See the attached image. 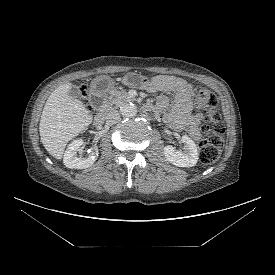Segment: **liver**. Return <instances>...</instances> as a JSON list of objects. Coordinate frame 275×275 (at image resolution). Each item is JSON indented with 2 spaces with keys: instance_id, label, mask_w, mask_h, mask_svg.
Segmentation results:
<instances>
[{
  "instance_id": "obj_1",
  "label": "liver",
  "mask_w": 275,
  "mask_h": 275,
  "mask_svg": "<svg viewBox=\"0 0 275 275\" xmlns=\"http://www.w3.org/2000/svg\"><path fill=\"white\" fill-rule=\"evenodd\" d=\"M71 87L70 83L62 84L50 94L40 119L41 142L56 159H62L68 141L84 131L93 120L85 104L70 97Z\"/></svg>"
}]
</instances>
